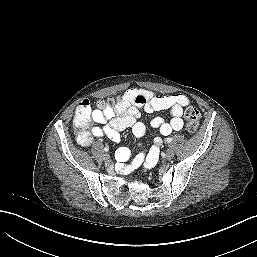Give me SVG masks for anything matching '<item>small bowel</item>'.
Wrapping results in <instances>:
<instances>
[{"label": "small bowel", "mask_w": 257, "mask_h": 257, "mask_svg": "<svg viewBox=\"0 0 257 257\" xmlns=\"http://www.w3.org/2000/svg\"><path fill=\"white\" fill-rule=\"evenodd\" d=\"M188 97L182 94L161 96L152 91L142 88H131L123 96L119 105L114 108L91 111V122L100 126L93 127L90 131H79L77 141L82 145H89L93 138L107 135L112 141L120 140V131L131 129L134 136L139 138L145 134L146 127L140 120L142 112L153 113L166 110L170 114V119L157 116L152 119L151 125L157 128L164 136L183 128L182 115L184 108L189 105ZM77 110L74 116L76 124ZM160 139L155 140V145L147 153L137 154L127 170L135 169L139 166L151 168L158 159V147ZM131 157V152L127 148H120L116 152V158L124 163Z\"/></svg>", "instance_id": "small-bowel-1"}]
</instances>
